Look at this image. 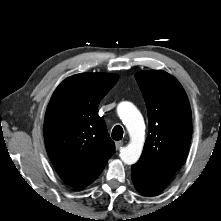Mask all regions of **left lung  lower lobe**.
I'll list each match as a JSON object with an SVG mask.
<instances>
[{
    "label": "left lung lower lobe",
    "mask_w": 221,
    "mask_h": 221,
    "mask_svg": "<svg viewBox=\"0 0 221 221\" xmlns=\"http://www.w3.org/2000/svg\"><path fill=\"white\" fill-rule=\"evenodd\" d=\"M131 169L136 189L145 196H153L162 192L169 183V179L153 173L139 163L134 164Z\"/></svg>",
    "instance_id": "0a47b994"
}]
</instances>
